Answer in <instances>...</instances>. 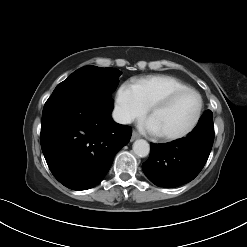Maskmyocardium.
<instances>
[{
    "instance_id": "1",
    "label": "myocardium",
    "mask_w": 247,
    "mask_h": 247,
    "mask_svg": "<svg viewBox=\"0 0 247 247\" xmlns=\"http://www.w3.org/2000/svg\"><path fill=\"white\" fill-rule=\"evenodd\" d=\"M185 93H194L199 99V107H198L197 113L195 115V118H194L193 122L191 123V125L187 129L182 131L181 133H178L175 135L157 134V137L159 139H161L162 141L174 142V141H178V140L186 138L197 128V126L199 125V123L202 119L203 110H204L203 96L201 95V93L198 90L191 88V87L171 91V92L165 94L164 96H162L161 98H159L157 101H155L149 107L148 116H151L157 110H161V109L168 107L175 98H177L178 96L185 94Z\"/></svg>"
}]
</instances>
